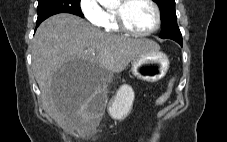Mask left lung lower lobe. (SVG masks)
I'll return each instance as SVG.
<instances>
[{
	"instance_id": "obj_1",
	"label": "left lung lower lobe",
	"mask_w": 227,
	"mask_h": 142,
	"mask_svg": "<svg viewBox=\"0 0 227 142\" xmlns=\"http://www.w3.org/2000/svg\"><path fill=\"white\" fill-rule=\"evenodd\" d=\"M176 42H177V41H176ZM178 43L182 46V41H179Z\"/></svg>"
}]
</instances>
